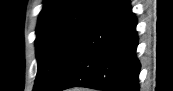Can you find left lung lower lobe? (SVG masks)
I'll use <instances>...</instances> for the list:
<instances>
[{"instance_id": "left-lung-lower-lobe-1", "label": "left lung lower lobe", "mask_w": 173, "mask_h": 91, "mask_svg": "<svg viewBox=\"0 0 173 91\" xmlns=\"http://www.w3.org/2000/svg\"><path fill=\"white\" fill-rule=\"evenodd\" d=\"M137 19L128 0H115L81 42L50 91L74 86L138 91Z\"/></svg>"}]
</instances>
